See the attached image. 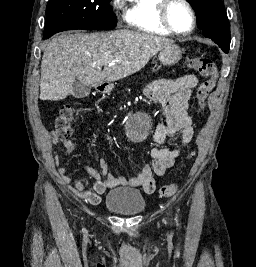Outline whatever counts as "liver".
<instances>
[{"label":"liver","mask_w":256,"mask_h":267,"mask_svg":"<svg viewBox=\"0 0 256 267\" xmlns=\"http://www.w3.org/2000/svg\"><path fill=\"white\" fill-rule=\"evenodd\" d=\"M172 42L164 36L132 30L56 36L42 56L39 98L64 100L73 94L75 78L94 88L127 78ZM103 60L111 64H98ZM101 66H105L104 70H100Z\"/></svg>","instance_id":"1"}]
</instances>
